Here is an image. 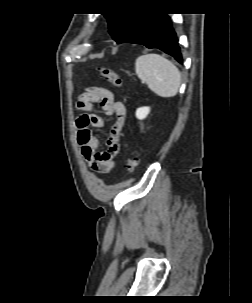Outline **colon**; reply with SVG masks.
<instances>
[{"mask_svg": "<svg viewBox=\"0 0 252 303\" xmlns=\"http://www.w3.org/2000/svg\"><path fill=\"white\" fill-rule=\"evenodd\" d=\"M99 73L102 77L108 80L112 85L118 88H122L124 85V80L122 77L113 69L107 67H99ZM138 166V161L135 156H129L125 163V168L127 173L132 174L136 171Z\"/></svg>", "mask_w": 252, "mask_h": 303, "instance_id": "obj_1", "label": "colon"}]
</instances>
